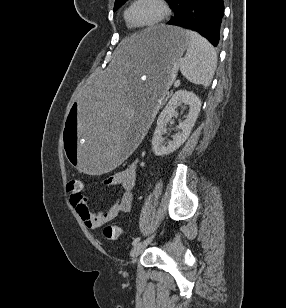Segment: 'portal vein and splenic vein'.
<instances>
[{
    "instance_id": "obj_1",
    "label": "portal vein and splenic vein",
    "mask_w": 286,
    "mask_h": 308,
    "mask_svg": "<svg viewBox=\"0 0 286 308\" xmlns=\"http://www.w3.org/2000/svg\"><path fill=\"white\" fill-rule=\"evenodd\" d=\"M180 85V81L179 80H176L175 82H174V87H178Z\"/></svg>"
}]
</instances>
